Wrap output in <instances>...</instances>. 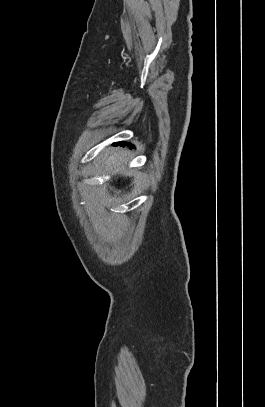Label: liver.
<instances>
[{
    "label": "liver",
    "mask_w": 265,
    "mask_h": 407,
    "mask_svg": "<svg viewBox=\"0 0 265 407\" xmlns=\"http://www.w3.org/2000/svg\"><path fill=\"white\" fill-rule=\"evenodd\" d=\"M107 157V155L105 156V158ZM110 161L109 162H107V165L108 166H111V165H114V164H118L119 163V159H118V157L114 154V155H112L111 157H110V159H109Z\"/></svg>",
    "instance_id": "6515ba94"
}]
</instances>
